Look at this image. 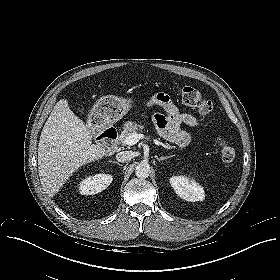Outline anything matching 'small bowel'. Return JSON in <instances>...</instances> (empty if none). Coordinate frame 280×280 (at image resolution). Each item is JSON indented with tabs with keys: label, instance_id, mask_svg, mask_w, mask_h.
Segmentation results:
<instances>
[{
	"label": "small bowel",
	"instance_id": "1",
	"mask_svg": "<svg viewBox=\"0 0 280 280\" xmlns=\"http://www.w3.org/2000/svg\"><path fill=\"white\" fill-rule=\"evenodd\" d=\"M147 107L149 109L159 108L164 112H157L152 115V120L162 137L181 149L190 144L191 135L182 129V125L198 128L200 122L194 115L181 113L170 98L164 94L151 97L147 102Z\"/></svg>",
	"mask_w": 280,
	"mask_h": 280
}]
</instances>
